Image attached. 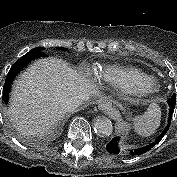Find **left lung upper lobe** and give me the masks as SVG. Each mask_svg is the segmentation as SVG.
<instances>
[{"instance_id": "5c2ea615", "label": "left lung upper lobe", "mask_w": 177, "mask_h": 177, "mask_svg": "<svg viewBox=\"0 0 177 177\" xmlns=\"http://www.w3.org/2000/svg\"><path fill=\"white\" fill-rule=\"evenodd\" d=\"M172 97L176 98V95H175V94H173V95L171 96V98H172Z\"/></svg>"}]
</instances>
